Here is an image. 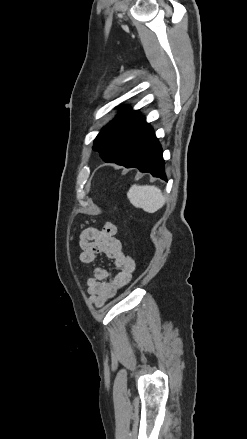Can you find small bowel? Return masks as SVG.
<instances>
[{
	"label": "small bowel",
	"mask_w": 247,
	"mask_h": 439,
	"mask_svg": "<svg viewBox=\"0 0 247 439\" xmlns=\"http://www.w3.org/2000/svg\"><path fill=\"white\" fill-rule=\"evenodd\" d=\"M116 232L113 224L106 223L102 228H87L80 236L82 263L90 264L98 255H105L113 260L116 268L111 275L106 269L96 267L93 276L87 280L89 301L96 306H102L119 288L128 284L135 270V262L124 253L122 243L115 237Z\"/></svg>",
	"instance_id": "c3829d8e"
}]
</instances>
